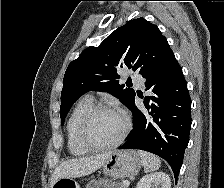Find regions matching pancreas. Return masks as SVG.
Instances as JSON below:
<instances>
[{
    "instance_id": "1",
    "label": "pancreas",
    "mask_w": 224,
    "mask_h": 188,
    "mask_svg": "<svg viewBox=\"0 0 224 188\" xmlns=\"http://www.w3.org/2000/svg\"><path fill=\"white\" fill-rule=\"evenodd\" d=\"M86 188H126L123 182H115L110 179L100 178L92 180Z\"/></svg>"
}]
</instances>
